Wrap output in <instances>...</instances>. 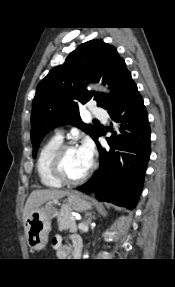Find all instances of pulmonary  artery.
Here are the masks:
<instances>
[{
	"instance_id": "pulmonary-artery-1",
	"label": "pulmonary artery",
	"mask_w": 175,
	"mask_h": 287,
	"mask_svg": "<svg viewBox=\"0 0 175 287\" xmlns=\"http://www.w3.org/2000/svg\"><path fill=\"white\" fill-rule=\"evenodd\" d=\"M91 113L96 116V117H100V118H104L106 117V112L103 108L101 107H96L94 106L91 110ZM57 137L62 138V132L58 131L56 134Z\"/></svg>"
}]
</instances>
